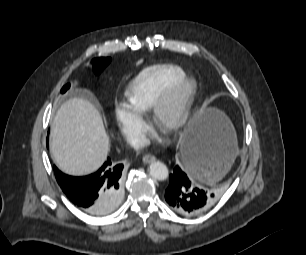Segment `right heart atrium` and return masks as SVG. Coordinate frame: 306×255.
<instances>
[{"label": "right heart atrium", "instance_id": "1", "mask_svg": "<svg viewBox=\"0 0 306 255\" xmlns=\"http://www.w3.org/2000/svg\"><path fill=\"white\" fill-rule=\"evenodd\" d=\"M115 118L119 129L131 145H139L143 138L145 121L129 104L119 102L116 104Z\"/></svg>", "mask_w": 306, "mask_h": 255}]
</instances>
